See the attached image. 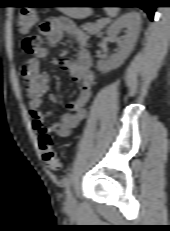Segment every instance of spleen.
Listing matches in <instances>:
<instances>
[{
	"mask_svg": "<svg viewBox=\"0 0 170 231\" xmlns=\"http://www.w3.org/2000/svg\"><path fill=\"white\" fill-rule=\"evenodd\" d=\"M105 11H106L107 15H109L110 17H115L117 15L119 9L116 7H107V8H105Z\"/></svg>",
	"mask_w": 170,
	"mask_h": 231,
	"instance_id": "spleen-1",
	"label": "spleen"
}]
</instances>
